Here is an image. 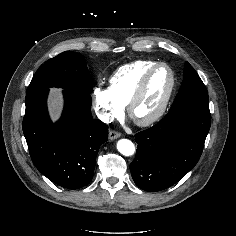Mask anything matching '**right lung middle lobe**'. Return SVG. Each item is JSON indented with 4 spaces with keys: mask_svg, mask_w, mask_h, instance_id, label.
I'll return each mask as SVG.
<instances>
[{
    "mask_svg": "<svg viewBox=\"0 0 236 236\" xmlns=\"http://www.w3.org/2000/svg\"><path fill=\"white\" fill-rule=\"evenodd\" d=\"M50 87L90 94L93 84L84 57L65 51L49 59L37 70L27 92Z\"/></svg>",
    "mask_w": 236,
    "mask_h": 236,
    "instance_id": "obj_1",
    "label": "right lung middle lobe"
}]
</instances>
